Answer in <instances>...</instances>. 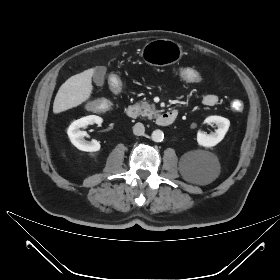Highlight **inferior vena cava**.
I'll return each instance as SVG.
<instances>
[{"instance_id": "602c4592", "label": "inferior vena cava", "mask_w": 280, "mask_h": 280, "mask_svg": "<svg viewBox=\"0 0 280 280\" xmlns=\"http://www.w3.org/2000/svg\"><path fill=\"white\" fill-rule=\"evenodd\" d=\"M145 132V127L142 123H136L134 126H133V133L134 135L136 136H141L143 135Z\"/></svg>"}]
</instances>
